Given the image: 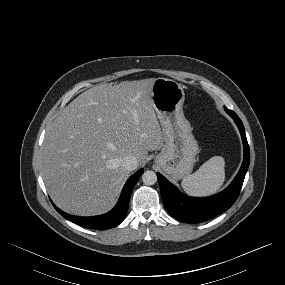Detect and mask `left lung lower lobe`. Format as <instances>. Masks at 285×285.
<instances>
[{
	"instance_id": "obj_1",
	"label": "left lung lower lobe",
	"mask_w": 285,
	"mask_h": 285,
	"mask_svg": "<svg viewBox=\"0 0 285 285\" xmlns=\"http://www.w3.org/2000/svg\"><path fill=\"white\" fill-rule=\"evenodd\" d=\"M234 119L241 133L244 146L242 166L231 182L221 193L206 198H192L180 193L165 177L157 173L161 196L168 212L178 221L201 223L228 210L237 200L250 162V150L240 118L235 112L227 111Z\"/></svg>"
}]
</instances>
